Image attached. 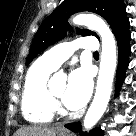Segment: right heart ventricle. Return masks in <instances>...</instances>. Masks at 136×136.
Listing matches in <instances>:
<instances>
[{
    "label": "right heart ventricle",
    "instance_id": "1",
    "mask_svg": "<svg viewBox=\"0 0 136 136\" xmlns=\"http://www.w3.org/2000/svg\"><path fill=\"white\" fill-rule=\"evenodd\" d=\"M54 70L40 59L28 70L21 95L24 118L34 124L49 123L55 115V107L49 94L47 81Z\"/></svg>",
    "mask_w": 136,
    "mask_h": 136
}]
</instances>
